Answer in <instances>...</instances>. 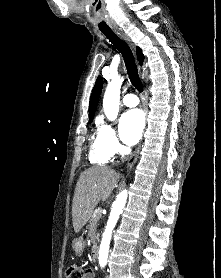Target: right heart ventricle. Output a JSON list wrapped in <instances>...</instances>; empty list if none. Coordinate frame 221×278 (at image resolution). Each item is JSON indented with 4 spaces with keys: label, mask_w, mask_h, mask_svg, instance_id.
<instances>
[{
    "label": "right heart ventricle",
    "mask_w": 221,
    "mask_h": 278,
    "mask_svg": "<svg viewBox=\"0 0 221 278\" xmlns=\"http://www.w3.org/2000/svg\"><path fill=\"white\" fill-rule=\"evenodd\" d=\"M112 155L102 143L99 134L97 133L92 141L90 149V160L94 164L104 165L107 164Z\"/></svg>",
    "instance_id": "obj_1"
}]
</instances>
